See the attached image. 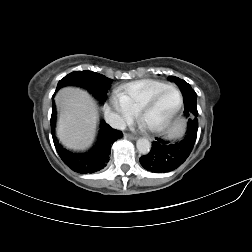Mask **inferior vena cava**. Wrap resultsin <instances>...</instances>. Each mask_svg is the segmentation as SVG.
Returning a JSON list of instances; mask_svg holds the SVG:
<instances>
[{
  "label": "inferior vena cava",
  "instance_id": "602c4592",
  "mask_svg": "<svg viewBox=\"0 0 252 252\" xmlns=\"http://www.w3.org/2000/svg\"><path fill=\"white\" fill-rule=\"evenodd\" d=\"M105 120L113 128L124 130L126 128L125 121L117 114L109 109L105 110Z\"/></svg>",
  "mask_w": 252,
  "mask_h": 252
}]
</instances>
